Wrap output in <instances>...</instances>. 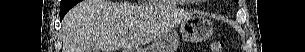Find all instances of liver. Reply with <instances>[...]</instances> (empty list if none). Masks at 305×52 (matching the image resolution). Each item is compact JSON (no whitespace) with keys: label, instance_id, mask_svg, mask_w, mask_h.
<instances>
[{"label":"liver","instance_id":"6515ba94","mask_svg":"<svg viewBox=\"0 0 305 52\" xmlns=\"http://www.w3.org/2000/svg\"><path fill=\"white\" fill-rule=\"evenodd\" d=\"M157 9V8H156ZM154 9L147 5L114 3L108 0H84L75 5L62 22V52H116L132 50L156 40L180 20L191 16L186 11L173 10L160 24Z\"/></svg>","mask_w":305,"mask_h":52}]
</instances>
